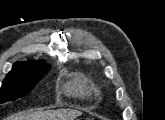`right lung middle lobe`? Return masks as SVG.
<instances>
[{
	"label": "right lung middle lobe",
	"mask_w": 165,
	"mask_h": 120,
	"mask_svg": "<svg viewBox=\"0 0 165 120\" xmlns=\"http://www.w3.org/2000/svg\"><path fill=\"white\" fill-rule=\"evenodd\" d=\"M50 70V66L21 65L5 77L1 87V102L14 101L32 91L39 80Z\"/></svg>",
	"instance_id": "1"
}]
</instances>
